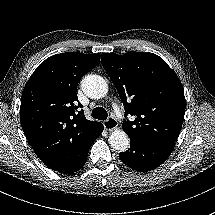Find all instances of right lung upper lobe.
Here are the masks:
<instances>
[{"mask_svg":"<svg viewBox=\"0 0 215 215\" xmlns=\"http://www.w3.org/2000/svg\"><path fill=\"white\" fill-rule=\"evenodd\" d=\"M99 61L100 54L53 55L36 68L24 87L21 126L35 154L47 166L75 161L80 140L97 124L79 109L83 106L76 88Z\"/></svg>","mask_w":215,"mask_h":215,"instance_id":"obj_1","label":"right lung upper lobe"}]
</instances>
